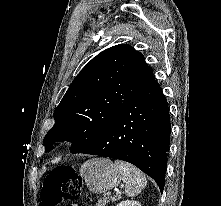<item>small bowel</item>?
<instances>
[{
  "mask_svg": "<svg viewBox=\"0 0 221 206\" xmlns=\"http://www.w3.org/2000/svg\"><path fill=\"white\" fill-rule=\"evenodd\" d=\"M66 206H78L76 204H67Z\"/></svg>",
  "mask_w": 221,
  "mask_h": 206,
  "instance_id": "1",
  "label": "small bowel"
}]
</instances>
